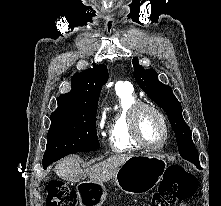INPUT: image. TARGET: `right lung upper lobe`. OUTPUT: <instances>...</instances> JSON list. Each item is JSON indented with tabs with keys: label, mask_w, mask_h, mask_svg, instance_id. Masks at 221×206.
I'll list each match as a JSON object with an SVG mask.
<instances>
[{
	"label": "right lung upper lobe",
	"mask_w": 221,
	"mask_h": 206,
	"mask_svg": "<svg viewBox=\"0 0 221 206\" xmlns=\"http://www.w3.org/2000/svg\"><path fill=\"white\" fill-rule=\"evenodd\" d=\"M108 80L105 65L76 73L71 79V91L58 97V108L54 112L75 111L97 107L101 86Z\"/></svg>",
	"instance_id": "1"
}]
</instances>
